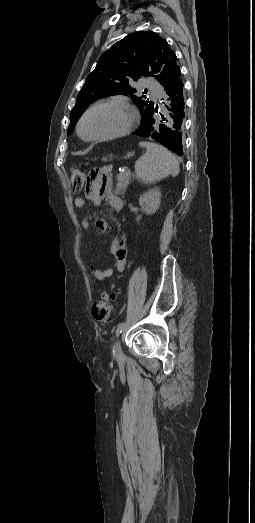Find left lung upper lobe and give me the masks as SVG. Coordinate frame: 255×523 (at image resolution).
<instances>
[{"instance_id": "5c2ea615", "label": "left lung upper lobe", "mask_w": 255, "mask_h": 523, "mask_svg": "<svg viewBox=\"0 0 255 523\" xmlns=\"http://www.w3.org/2000/svg\"><path fill=\"white\" fill-rule=\"evenodd\" d=\"M176 60L166 40L154 32H135L124 37L101 56L94 71L88 75L71 112L68 135L91 103L109 95H130L141 111L138 121H145L151 115L150 110L158 108L154 107L152 101L144 100L145 95L136 96V90L130 83L141 77L153 76L166 91V86L175 85V78L181 74Z\"/></svg>"}]
</instances>
